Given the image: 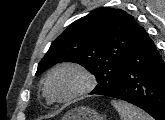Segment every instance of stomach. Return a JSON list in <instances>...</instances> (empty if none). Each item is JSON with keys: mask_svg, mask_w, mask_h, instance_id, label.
I'll use <instances>...</instances> for the list:
<instances>
[{"mask_svg": "<svg viewBox=\"0 0 165 120\" xmlns=\"http://www.w3.org/2000/svg\"><path fill=\"white\" fill-rule=\"evenodd\" d=\"M61 120H105V118L94 109L80 106L66 113Z\"/></svg>", "mask_w": 165, "mask_h": 120, "instance_id": "stomach-1", "label": "stomach"}]
</instances>
